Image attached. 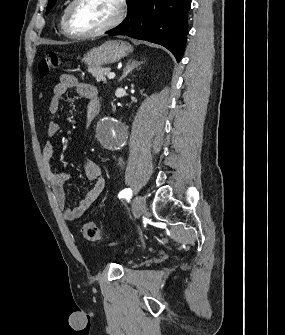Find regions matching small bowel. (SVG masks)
I'll return each mask as SVG.
<instances>
[{
  "label": "small bowel",
  "mask_w": 285,
  "mask_h": 335,
  "mask_svg": "<svg viewBox=\"0 0 285 335\" xmlns=\"http://www.w3.org/2000/svg\"><path fill=\"white\" fill-rule=\"evenodd\" d=\"M70 89H75L78 95L88 101L85 119L86 125L88 126L92 121L88 118V111L94 103L99 102L98 93L93 85L81 83L73 75L62 74L60 76V81L53 88V95L49 103V112L53 115L58 113L60 102ZM59 129L60 126L58 122L52 120L48 123L47 135L49 137H54L59 132ZM42 154L45 161L47 178L54 193L57 205L62 212L63 218L66 221H74L80 218L85 213V211L98 199L104 189L105 179L103 177L102 168L98 163L93 161L88 162L85 165V175L87 179L93 181V186L77 206L74 208H68L64 193L66 175L64 172L58 171L54 168V146L51 142L45 143Z\"/></svg>",
  "instance_id": "1"
}]
</instances>
